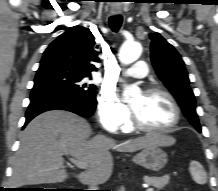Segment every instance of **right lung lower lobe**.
I'll return each instance as SVG.
<instances>
[{"mask_svg": "<svg viewBox=\"0 0 218 191\" xmlns=\"http://www.w3.org/2000/svg\"><path fill=\"white\" fill-rule=\"evenodd\" d=\"M96 103L94 101H87L56 87H36L31 92L25 125L37 115L49 110H66L82 117H90L93 115Z\"/></svg>", "mask_w": 218, "mask_h": 191, "instance_id": "right-lung-lower-lobe-1", "label": "right lung lower lobe"}]
</instances>
